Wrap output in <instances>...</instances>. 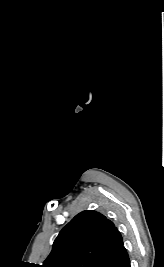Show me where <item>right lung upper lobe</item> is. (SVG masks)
Segmentation results:
<instances>
[{"instance_id": "obj_1", "label": "right lung upper lobe", "mask_w": 164, "mask_h": 267, "mask_svg": "<svg viewBox=\"0 0 164 267\" xmlns=\"http://www.w3.org/2000/svg\"><path fill=\"white\" fill-rule=\"evenodd\" d=\"M120 232L104 215L83 211L59 233L43 267H99L123 248Z\"/></svg>"}]
</instances>
